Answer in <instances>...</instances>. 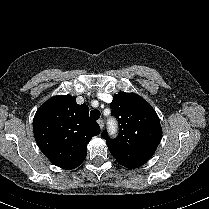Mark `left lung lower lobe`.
Listing matches in <instances>:
<instances>
[{"label":"left lung lower lobe","mask_w":209,"mask_h":209,"mask_svg":"<svg viewBox=\"0 0 209 209\" xmlns=\"http://www.w3.org/2000/svg\"><path fill=\"white\" fill-rule=\"evenodd\" d=\"M137 166H129L127 168H130V169H133V168H136Z\"/></svg>","instance_id":"obj_1"}]
</instances>
